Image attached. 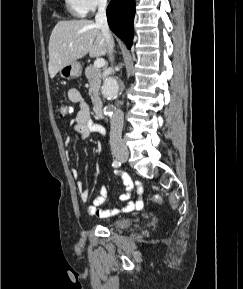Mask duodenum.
<instances>
[{
  "mask_svg": "<svg viewBox=\"0 0 243 289\" xmlns=\"http://www.w3.org/2000/svg\"><path fill=\"white\" fill-rule=\"evenodd\" d=\"M93 109L97 117L103 118L105 116L104 106L100 100H95Z\"/></svg>",
  "mask_w": 243,
  "mask_h": 289,
  "instance_id": "410a0bca",
  "label": "duodenum"
}]
</instances>
